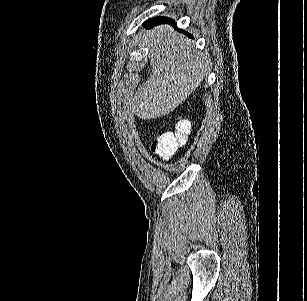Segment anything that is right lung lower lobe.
I'll list each match as a JSON object with an SVG mask.
<instances>
[{"label":"right lung lower lobe","instance_id":"obj_1","mask_svg":"<svg viewBox=\"0 0 307 301\" xmlns=\"http://www.w3.org/2000/svg\"><path fill=\"white\" fill-rule=\"evenodd\" d=\"M170 20L168 18L165 17H156V18H152L149 19L145 22L144 26H149V27H153L154 25L160 24V23H164V22H169ZM171 23H173V21H171Z\"/></svg>","mask_w":307,"mask_h":301}]
</instances>
